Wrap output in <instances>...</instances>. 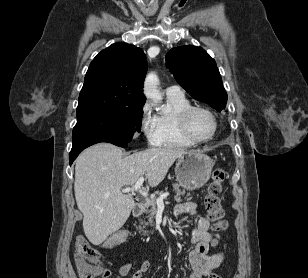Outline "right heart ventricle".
Segmentation results:
<instances>
[{
  "label": "right heart ventricle",
  "mask_w": 308,
  "mask_h": 278,
  "mask_svg": "<svg viewBox=\"0 0 308 278\" xmlns=\"http://www.w3.org/2000/svg\"><path fill=\"white\" fill-rule=\"evenodd\" d=\"M168 112L156 116L158 130V145L167 148H188L194 143L187 140L180 132L176 115L184 107L190 105L189 100L184 96H167Z\"/></svg>",
  "instance_id": "e07e8e85"
}]
</instances>
